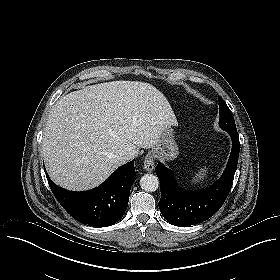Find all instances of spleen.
Wrapping results in <instances>:
<instances>
[{
  "instance_id": "obj_1",
  "label": "spleen",
  "mask_w": 280,
  "mask_h": 280,
  "mask_svg": "<svg viewBox=\"0 0 280 280\" xmlns=\"http://www.w3.org/2000/svg\"><path fill=\"white\" fill-rule=\"evenodd\" d=\"M207 168H201L200 171L193 177L192 183L197 184L204 180V178L207 176Z\"/></svg>"
}]
</instances>
